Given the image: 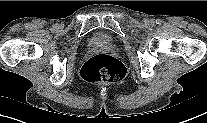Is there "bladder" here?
Wrapping results in <instances>:
<instances>
[{"label":"bladder","mask_w":207,"mask_h":123,"mask_svg":"<svg viewBox=\"0 0 207 123\" xmlns=\"http://www.w3.org/2000/svg\"><path fill=\"white\" fill-rule=\"evenodd\" d=\"M91 44L93 45H108L110 44V39L108 38V36L104 35V34H96L92 40H91Z\"/></svg>","instance_id":"bladder-1"}]
</instances>
